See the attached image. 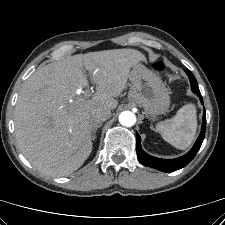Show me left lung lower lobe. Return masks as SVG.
Instances as JSON below:
<instances>
[{"mask_svg":"<svg viewBox=\"0 0 225 225\" xmlns=\"http://www.w3.org/2000/svg\"><path fill=\"white\" fill-rule=\"evenodd\" d=\"M185 72L189 76L192 91L199 96L201 103L203 104V100H202V96H201V93H200V90L198 87V83H197L194 75L189 70H185ZM205 130H206V113L204 111L201 133H200L195 145L193 146V148L184 156L176 158V159H170V160L155 158V157H152V156L148 155L147 153H145L141 149V145H140L141 138H140L139 134L136 133L138 160L141 164H143L145 166L152 167V168L158 169L163 172H173V171L179 170V169L185 167L190 161H192V159L194 158V156L200 149L202 142L204 140Z\"/></svg>","mask_w":225,"mask_h":225,"instance_id":"1","label":"left lung lower lobe"}]
</instances>
